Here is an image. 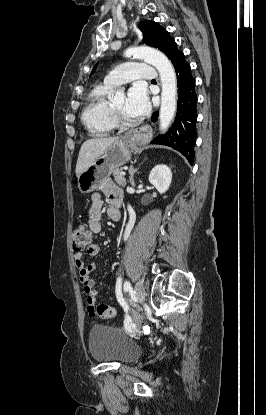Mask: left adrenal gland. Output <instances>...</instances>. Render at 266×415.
I'll use <instances>...</instances> for the list:
<instances>
[{
	"label": "left adrenal gland",
	"instance_id": "left-adrenal-gland-1",
	"mask_svg": "<svg viewBox=\"0 0 266 415\" xmlns=\"http://www.w3.org/2000/svg\"><path fill=\"white\" fill-rule=\"evenodd\" d=\"M138 171V168L134 169L133 165L130 166L129 168V174H130V184L134 187L135 186V182H134V174Z\"/></svg>",
	"mask_w": 266,
	"mask_h": 415
}]
</instances>
